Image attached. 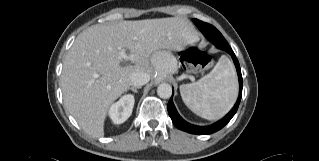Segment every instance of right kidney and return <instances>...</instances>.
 I'll return each mask as SVG.
<instances>
[{"label":"right kidney","mask_w":319,"mask_h":161,"mask_svg":"<svg viewBox=\"0 0 319 161\" xmlns=\"http://www.w3.org/2000/svg\"><path fill=\"white\" fill-rule=\"evenodd\" d=\"M134 102V96L127 94L122 96L119 101L111 105L109 109V116L114 124H121L130 117Z\"/></svg>","instance_id":"obj_1"}]
</instances>
